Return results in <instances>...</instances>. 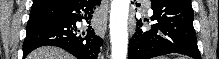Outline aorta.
<instances>
[{"mask_svg":"<svg viewBox=\"0 0 219 59\" xmlns=\"http://www.w3.org/2000/svg\"><path fill=\"white\" fill-rule=\"evenodd\" d=\"M130 0H112L110 38L112 59H126L128 50L127 21Z\"/></svg>","mask_w":219,"mask_h":59,"instance_id":"aorta-1","label":"aorta"}]
</instances>
